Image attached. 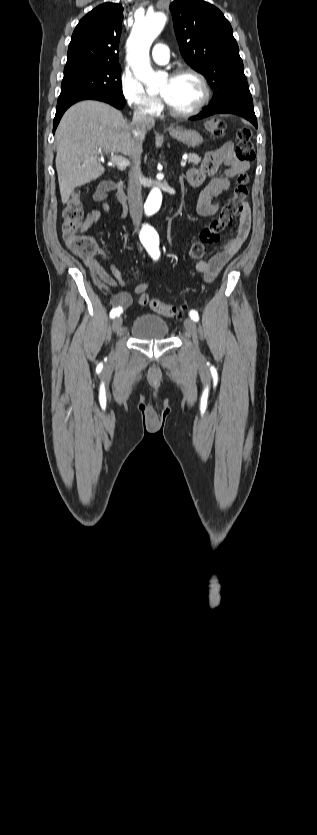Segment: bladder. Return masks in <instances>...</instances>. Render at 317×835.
<instances>
[{"label": "bladder", "mask_w": 317, "mask_h": 835, "mask_svg": "<svg viewBox=\"0 0 317 835\" xmlns=\"http://www.w3.org/2000/svg\"><path fill=\"white\" fill-rule=\"evenodd\" d=\"M131 334L140 340H163L169 337L170 327L162 317L144 314L138 316L132 323Z\"/></svg>", "instance_id": "bladder-1"}]
</instances>
